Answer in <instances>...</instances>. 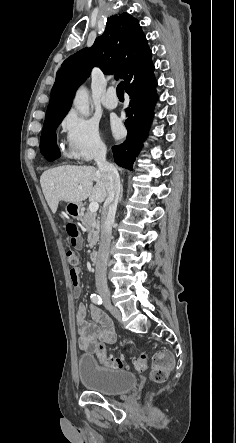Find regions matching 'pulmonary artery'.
Instances as JSON below:
<instances>
[{
  "instance_id": "1",
  "label": "pulmonary artery",
  "mask_w": 236,
  "mask_h": 443,
  "mask_svg": "<svg viewBox=\"0 0 236 443\" xmlns=\"http://www.w3.org/2000/svg\"><path fill=\"white\" fill-rule=\"evenodd\" d=\"M115 92H116V89L113 86H111L107 89L105 95L101 99V103L104 107H106L108 109H114L117 107V105H118L117 101H111L108 99V96L114 94Z\"/></svg>"
}]
</instances>
